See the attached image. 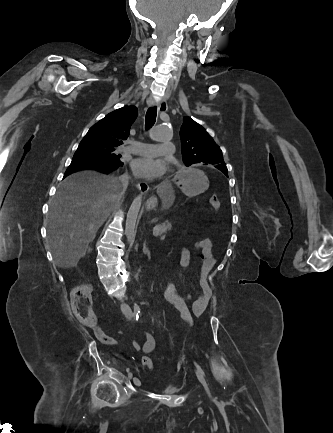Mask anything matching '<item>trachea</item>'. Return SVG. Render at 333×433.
Here are the masks:
<instances>
[{"mask_svg": "<svg viewBox=\"0 0 333 433\" xmlns=\"http://www.w3.org/2000/svg\"><path fill=\"white\" fill-rule=\"evenodd\" d=\"M157 116V107H151L146 112L145 129L149 130L155 123Z\"/></svg>", "mask_w": 333, "mask_h": 433, "instance_id": "3493384b", "label": "trachea"}]
</instances>
